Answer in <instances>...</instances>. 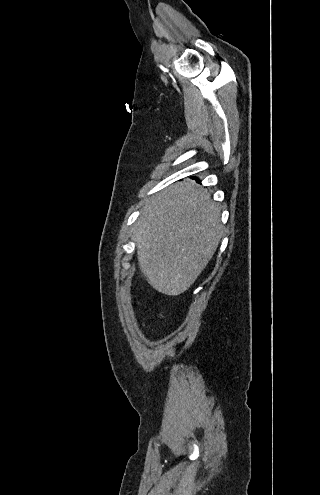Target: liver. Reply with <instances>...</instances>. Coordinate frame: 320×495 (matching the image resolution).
I'll return each instance as SVG.
<instances>
[{
  "instance_id": "liver-1",
  "label": "liver",
  "mask_w": 320,
  "mask_h": 495,
  "mask_svg": "<svg viewBox=\"0 0 320 495\" xmlns=\"http://www.w3.org/2000/svg\"><path fill=\"white\" fill-rule=\"evenodd\" d=\"M220 210L187 179L145 205L133 240L141 271L158 292L177 296L195 282L222 237Z\"/></svg>"
}]
</instances>
